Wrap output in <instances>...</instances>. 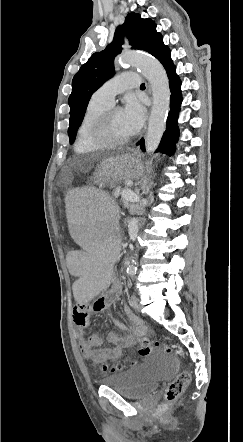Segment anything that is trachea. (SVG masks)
I'll return each mask as SVG.
<instances>
[{
  "mask_svg": "<svg viewBox=\"0 0 243 442\" xmlns=\"http://www.w3.org/2000/svg\"><path fill=\"white\" fill-rule=\"evenodd\" d=\"M140 87L142 88V87H145V83H142L141 85H140Z\"/></svg>",
  "mask_w": 243,
  "mask_h": 442,
  "instance_id": "trachea-1",
  "label": "trachea"
}]
</instances>
